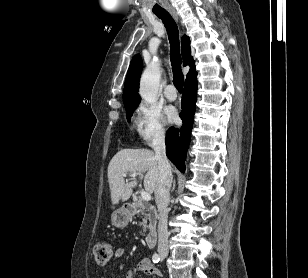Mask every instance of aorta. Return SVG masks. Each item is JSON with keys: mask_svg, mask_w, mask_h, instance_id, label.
<instances>
[{"mask_svg": "<svg viewBox=\"0 0 308 278\" xmlns=\"http://www.w3.org/2000/svg\"><path fill=\"white\" fill-rule=\"evenodd\" d=\"M159 65V61L153 59L140 79L139 94L148 103H154L157 100L160 81Z\"/></svg>", "mask_w": 308, "mask_h": 278, "instance_id": "aorta-1", "label": "aorta"}]
</instances>
